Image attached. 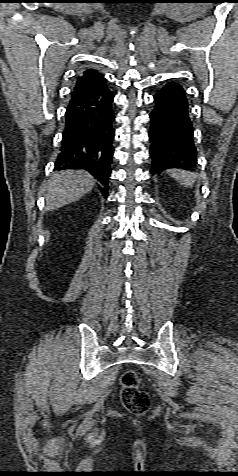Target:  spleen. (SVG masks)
<instances>
[{"label": "spleen", "mask_w": 238, "mask_h": 476, "mask_svg": "<svg viewBox=\"0 0 238 476\" xmlns=\"http://www.w3.org/2000/svg\"><path fill=\"white\" fill-rule=\"evenodd\" d=\"M168 172L170 176L175 178L181 185L187 187H192L197 177L196 173L181 169H171L168 170Z\"/></svg>", "instance_id": "1"}]
</instances>
